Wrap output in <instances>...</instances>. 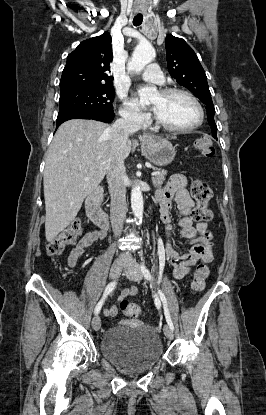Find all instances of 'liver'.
Listing matches in <instances>:
<instances>
[{
    "mask_svg": "<svg viewBox=\"0 0 266 415\" xmlns=\"http://www.w3.org/2000/svg\"><path fill=\"white\" fill-rule=\"evenodd\" d=\"M131 146L127 140L125 157ZM111 154V127L105 123L72 119L58 128L47 152L43 175L48 242L75 219L84 199L99 186Z\"/></svg>",
    "mask_w": 266,
    "mask_h": 415,
    "instance_id": "6515ba94",
    "label": "liver"
}]
</instances>
